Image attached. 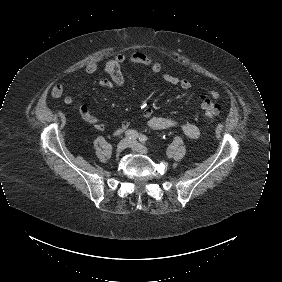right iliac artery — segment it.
Masks as SVG:
<instances>
[{
    "label": "right iliac artery",
    "mask_w": 282,
    "mask_h": 282,
    "mask_svg": "<svg viewBox=\"0 0 282 282\" xmlns=\"http://www.w3.org/2000/svg\"><path fill=\"white\" fill-rule=\"evenodd\" d=\"M125 136L130 139H137L139 137V134L136 130L130 129L125 132Z\"/></svg>",
    "instance_id": "obj_1"
}]
</instances>
